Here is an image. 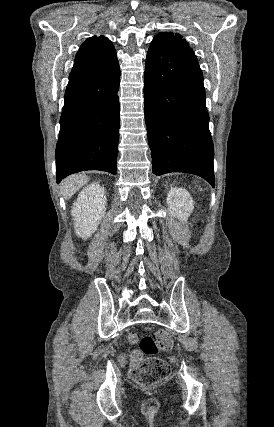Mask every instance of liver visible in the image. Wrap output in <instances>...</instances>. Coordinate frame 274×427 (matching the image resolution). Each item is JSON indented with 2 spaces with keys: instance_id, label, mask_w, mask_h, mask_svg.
Wrapping results in <instances>:
<instances>
[{
  "instance_id": "obj_1",
  "label": "liver",
  "mask_w": 274,
  "mask_h": 427,
  "mask_svg": "<svg viewBox=\"0 0 274 427\" xmlns=\"http://www.w3.org/2000/svg\"><path fill=\"white\" fill-rule=\"evenodd\" d=\"M87 182H89V178L88 176H83V174H74V176L65 178L61 184L65 200H69L71 196H74V194H76L80 188H83Z\"/></svg>"
}]
</instances>
